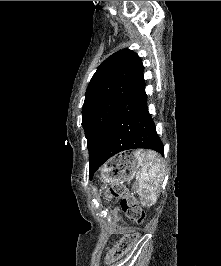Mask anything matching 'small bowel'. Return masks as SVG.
I'll list each match as a JSON object with an SVG mask.
<instances>
[{"label": "small bowel", "instance_id": "obj_1", "mask_svg": "<svg viewBox=\"0 0 221 266\" xmlns=\"http://www.w3.org/2000/svg\"><path fill=\"white\" fill-rule=\"evenodd\" d=\"M130 229L128 227H122L121 231H129Z\"/></svg>", "mask_w": 221, "mask_h": 266}]
</instances>
